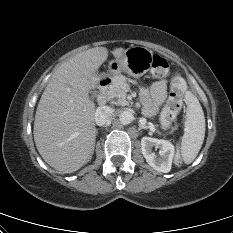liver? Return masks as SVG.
Masks as SVG:
<instances>
[{"instance_id":"1","label":"liver","mask_w":233,"mask_h":233,"mask_svg":"<svg viewBox=\"0 0 233 233\" xmlns=\"http://www.w3.org/2000/svg\"><path fill=\"white\" fill-rule=\"evenodd\" d=\"M124 48L112 51L118 59ZM108 50L95 47L62 63L47 84L37 107L34 141L38 152L59 173H73L87 164L96 139L95 104L89 91L98 86V69Z\"/></svg>"}]
</instances>
